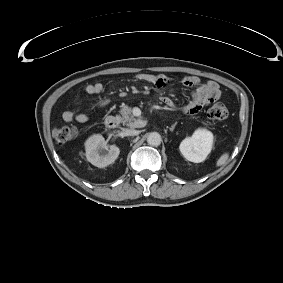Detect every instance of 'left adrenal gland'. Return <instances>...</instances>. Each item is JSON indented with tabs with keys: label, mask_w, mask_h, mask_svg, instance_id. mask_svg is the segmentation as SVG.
I'll return each instance as SVG.
<instances>
[{
	"label": "left adrenal gland",
	"mask_w": 283,
	"mask_h": 283,
	"mask_svg": "<svg viewBox=\"0 0 283 283\" xmlns=\"http://www.w3.org/2000/svg\"><path fill=\"white\" fill-rule=\"evenodd\" d=\"M176 125H177V122H175V123L169 128V130H170V131H173V130L175 129Z\"/></svg>",
	"instance_id": "1"
}]
</instances>
